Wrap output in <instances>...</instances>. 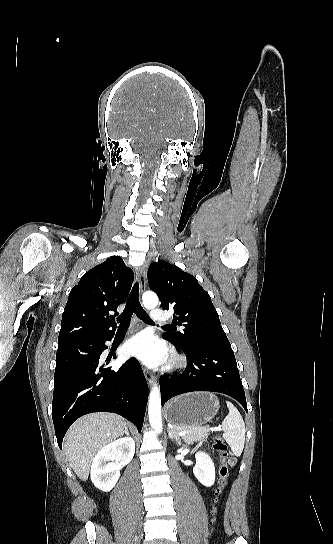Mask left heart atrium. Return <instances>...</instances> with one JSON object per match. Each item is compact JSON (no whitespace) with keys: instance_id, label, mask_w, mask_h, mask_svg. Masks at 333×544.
Wrapping results in <instances>:
<instances>
[{"instance_id":"obj_1","label":"left heart atrium","mask_w":333,"mask_h":544,"mask_svg":"<svg viewBox=\"0 0 333 544\" xmlns=\"http://www.w3.org/2000/svg\"><path fill=\"white\" fill-rule=\"evenodd\" d=\"M126 352L151 367L164 363L168 357L165 345L147 332H141L130 339L126 345Z\"/></svg>"}]
</instances>
